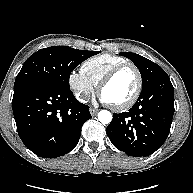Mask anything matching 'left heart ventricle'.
I'll list each match as a JSON object with an SVG mask.
<instances>
[{
	"label": "left heart ventricle",
	"mask_w": 193,
	"mask_h": 193,
	"mask_svg": "<svg viewBox=\"0 0 193 193\" xmlns=\"http://www.w3.org/2000/svg\"><path fill=\"white\" fill-rule=\"evenodd\" d=\"M137 86V76L133 69L127 68L118 73L102 90L109 104L119 105L127 101Z\"/></svg>",
	"instance_id": "obj_1"
}]
</instances>
